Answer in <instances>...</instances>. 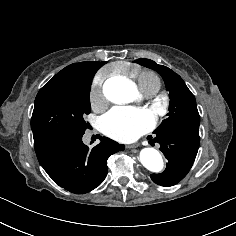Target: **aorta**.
<instances>
[{
	"instance_id": "1",
	"label": "aorta",
	"mask_w": 236,
	"mask_h": 236,
	"mask_svg": "<svg viewBox=\"0 0 236 236\" xmlns=\"http://www.w3.org/2000/svg\"><path fill=\"white\" fill-rule=\"evenodd\" d=\"M104 94L114 103H127L135 97L136 87L131 81L116 77L105 83ZM140 162L151 172H160L164 167L161 154L151 147L143 148L140 151Z\"/></svg>"
}]
</instances>
